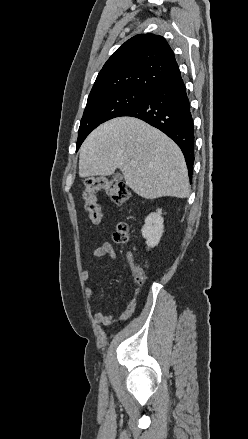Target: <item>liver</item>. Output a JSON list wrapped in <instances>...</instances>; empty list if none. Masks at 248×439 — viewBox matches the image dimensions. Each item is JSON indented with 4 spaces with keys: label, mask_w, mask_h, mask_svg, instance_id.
Masks as SVG:
<instances>
[{
    "label": "liver",
    "mask_w": 248,
    "mask_h": 439,
    "mask_svg": "<svg viewBox=\"0 0 248 439\" xmlns=\"http://www.w3.org/2000/svg\"><path fill=\"white\" fill-rule=\"evenodd\" d=\"M119 168L126 185L145 199L190 194L180 148L164 133L133 117L97 127L80 148L79 176H109Z\"/></svg>",
    "instance_id": "1"
}]
</instances>
